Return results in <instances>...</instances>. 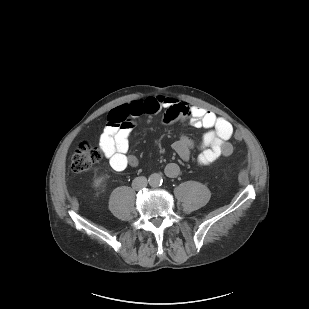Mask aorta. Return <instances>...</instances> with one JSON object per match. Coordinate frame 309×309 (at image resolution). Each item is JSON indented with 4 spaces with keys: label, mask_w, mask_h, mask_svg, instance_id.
Listing matches in <instances>:
<instances>
[{
    "label": "aorta",
    "mask_w": 309,
    "mask_h": 309,
    "mask_svg": "<svg viewBox=\"0 0 309 309\" xmlns=\"http://www.w3.org/2000/svg\"><path fill=\"white\" fill-rule=\"evenodd\" d=\"M162 181V177L158 173L151 174L148 179L149 185L152 187H158L162 184Z\"/></svg>",
    "instance_id": "762f6f07"
}]
</instances>
